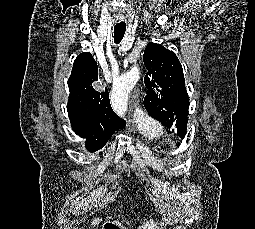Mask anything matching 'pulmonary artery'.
I'll list each match as a JSON object with an SVG mask.
<instances>
[{
    "label": "pulmonary artery",
    "mask_w": 255,
    "mask_h": 229,
    "mask_svg": "<svg viewBox=\"0 0 255 229\" xmlns=\"http://www.w3.org/2000/svg\"><path fill=\"white\" fill-rule=\"evenodd\" d=\"M134 119L141 125L151 126L153 121L140 107H136L134 110Z\"/></svg>",
    "instance_id": "obj_1"
}]
</instances>
